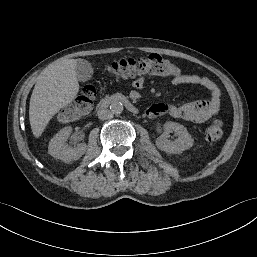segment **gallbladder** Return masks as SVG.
I'll list each match as a JSON object with an SVG mask.
<instances>
[{"instance_id":"1","label":"gallbladder","mask_w":257,"mask_h":257,"mask_svg":"<svg viewBox=\"0 0 257 257\" xmlns=\"http://www.w3.org/2000/svg\"><path fill=\"white\" fill-rule=\"evenodd\" d=\"M92 75H93V68L91 64L84 59H78L76 64L77 79L81 82H85L90 80Z\"/></svg>"}]
</instances>
